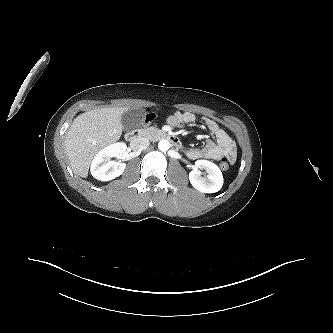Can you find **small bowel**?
Here are the masks:
<instances>
[{
	"mask_svg": "<svg viewBox=\"0 0 333 333\" xmlns=\"http://www.w3.org/2000/svg\"><path fill=\"white\" fill-rule=\"evenodd\" d=\"M196 117L193 113L175 112L167 118V123L171 127H178L183 124L195 122ZM207 129L215 137V140H208L203 147L189 148L186 155L193 160L211 159L221 160L223 157L228 158L230 163L236 160V145L228 133L220 125L210 118H203Z\"/></svg>",
	"mask_w": 333,
	"mask_h": 333,
	"instance_id": "obj_1",
	"label": "small bowel"
}]
</instances>
